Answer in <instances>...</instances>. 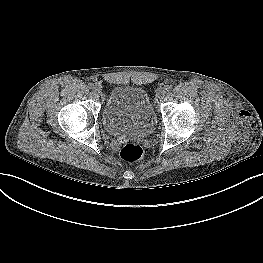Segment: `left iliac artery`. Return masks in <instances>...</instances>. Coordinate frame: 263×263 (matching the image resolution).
Listing matches in <instances>:
<instances>
[{"label": "left iliac artery", "mask_w": 263, "mask_h": 263, "mask_svg": "<svg viewBox=\"0 0 263 263\" xmlns=\"http://www.w3.org/2000/svg\"><path fill=\"white\" fill-rule=\"evenodd\" d=\"M162 92H163L164 94H167V93H169V88H167V87H164V88L162 89Z\"/></svg>", "instance_id": "obj_1"}]
</instances>
